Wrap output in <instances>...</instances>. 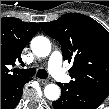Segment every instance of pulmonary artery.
I'll return each instance as SVG.
<instances>
[{
    "mask_svg": "<svg viewBox=\"0 0 109 109\" xmlns=\"http://www.w3.org/2000/svg\"><path fill=\"white\" fill-rule=\"evenodd\" d=\"M63 58L60 51H54L48 60L47 67L48 71L51 74L52 77H54L56 80L68 83L71 81V78L65 73L63 66Z\"/></svg>",
    "mask_w": 109,
    "mask_h": 109,
    "instance_id": "obj_1",
    "label": "pulmonary artery"
}]
</instances>
